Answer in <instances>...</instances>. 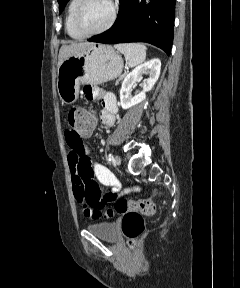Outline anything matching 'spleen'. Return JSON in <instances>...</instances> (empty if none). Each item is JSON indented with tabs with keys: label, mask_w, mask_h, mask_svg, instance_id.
<instances>
[{
	"label": "spleen",
	"mask_w": 240,
	"mask_h": 288,
	"mask_svg": "<svg viewBox=\"0 0 240 288\" xmlns=\"http://www.w3.org/2000/svg\"><path fill=\"white\" fill-rule=\"evenodd\" d=\"M115 48L128 60L130 67L141 64L146 58V46L140 43L117 44Z\"/></svg>",
	"instance_id": "spleen-1"
}]
</instances>
